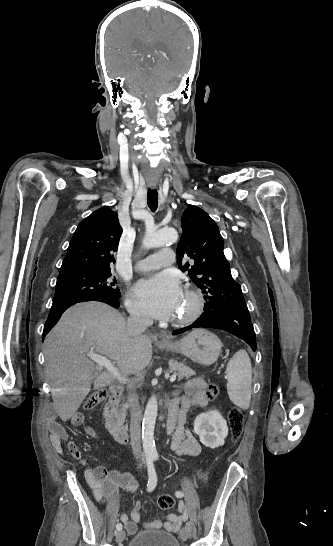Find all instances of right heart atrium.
<instances>
[{"mask_svg":"<svg viewBox=\"0 0 333 546\" xmlns=\"http://www.w3.org/2000/svg\"><path fill=\"white\" fill-rule=\"evenodd\" d=\"M126 307L130 315L139 321H148V317L140 305L131 297L126 299Z\"/></svg>","mask_w":333,"mask_h":546,"instance_id":"d8ad5b80","label":"right heart atrium"}]
</instances>
